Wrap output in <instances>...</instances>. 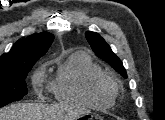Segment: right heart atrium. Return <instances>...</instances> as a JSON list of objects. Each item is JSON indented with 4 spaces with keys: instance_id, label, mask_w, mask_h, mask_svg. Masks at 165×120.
Returning a JSON list of instances; mask_svg holds the SVG:
<instances>
[{
    "instance_id": "d8ad5b80",
    "label": "right heart atrium",
    "mask_w": 165,
    "mask_h": 120,
    "mask_svg": "<svg viewBox=\"0 0 165 120\" xmlns=\"http://www.w3.org/2000/svg\"><path fill=\"white\" fill-rule=\"evenodd\" d=\"M33 80H34L35 86L40 87L42 82H43V73H42V71L36 72L35 75H34Z\"/></svg>"
}]
</instances>
